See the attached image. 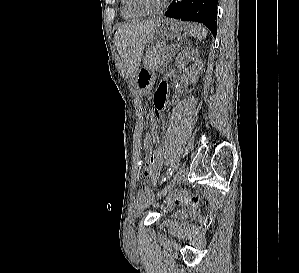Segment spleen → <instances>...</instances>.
<instances>
[{"label": "spleen", "mask_w": 299, "mask_h": 273, "mask_svg": "<svg viewBox=\"0 0 299 273\" xmlns=\"http://www.w3.org/2000/svg\"><path fill=\"white\" fill-rule=\"evenodd\" d=\"M188 33L189 35L202 40L207 37L208 31L205 27L197 23H191L188 25Z\"/></svg>", "instance_id": "3e777b00"}]
</instances>
